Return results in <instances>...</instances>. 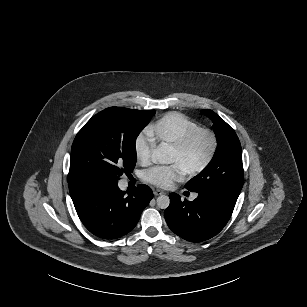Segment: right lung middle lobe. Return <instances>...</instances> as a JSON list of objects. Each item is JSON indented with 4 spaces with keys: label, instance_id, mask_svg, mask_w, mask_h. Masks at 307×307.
<instances>
[{
    "label": "right lung middle lobe",
    "instance_id": "1",
    "mask_svg": "<svg viewBox=\"0 0 307 307\" xmlns=\"http://www.w3.org/2000/svg\"><path fill=\"white\" fill-rule=\"evenodd\" d=\"M154 111L107 108L94 115L76 135L72 148L69 186L97 180L118 181L132 172L135 141Z\"/></svg>",
    "mask_w": 307,
    "mask_h": 307
}]
</instances>
